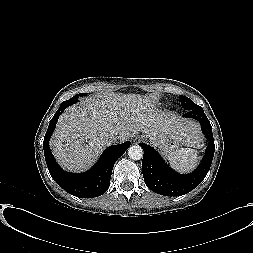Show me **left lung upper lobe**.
I'll return each mask as SVG.
<instances>
[{
    "label": "left lung upper lobe",
    "mask_w": 253,
    "mask_h": 253,
    "mask_svg": "<svg viewBox=\"0 0 253 253\" xmlns=\"http://www.w3.org/2000/svg\"><path fill=\"white\" fill-rule=\"evenodd\" d=\"M181 100V106L187 111L195 108H199L200 106L196 105L191 99L185 96H179Z\"/></svg>",
    "instance_id": "obj_1"
}]
</instances>
